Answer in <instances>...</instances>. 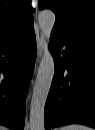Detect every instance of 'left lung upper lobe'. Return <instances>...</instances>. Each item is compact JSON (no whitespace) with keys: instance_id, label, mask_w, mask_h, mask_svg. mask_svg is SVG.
I'll return each instance as SVG.
<instances>
[{"instance_id":"5c2ea615","label":"left lung upper lobe","mask_w":95,"mask_h":130,"mask_svg":"<svg viewBox=\"0 0 95 130\" xmlns=\"http://www.w3.org/2000/svg\"><path fill=\"white\" fill-rule=\"evenodd\" d=\"M55 13L52 34L95 46V0H39Z\"/></svg>"}]
</instances>
